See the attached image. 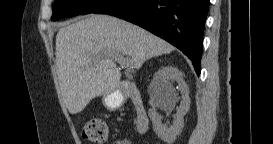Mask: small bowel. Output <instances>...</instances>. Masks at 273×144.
I'll list each match as a JSON object with an SVG mask.
<instances>
[{"label":"small bowel","instance_id":"1","mask_svg":"<svg viewBox=\"0 0 273 144\" xmlns=\"http://www.w3.org/2000/svg\"><path fill=\"white\" fill-rule=\"evenodd\" d=\"M117 144H126L128 143V141L126 140H119V141H116Z\"/></svg>","mask_w":273,"mask_h":144}]
</instances>
